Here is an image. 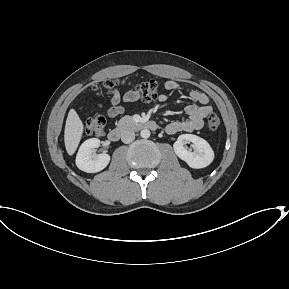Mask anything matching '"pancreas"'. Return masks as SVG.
I'll return each mask as SVG.
<instances>
[{
    "instance_id": "cf45deb5",
    "label": "pancreas",
    "mask_w": 289,
    "mask_h": 289,
    "mask_svg": "<svg viewBox=\"0 0 289 289\" xmlns=\"http://www.w3.org/2000/svg\"><path fill=\"white\" fill-rule=\"evenodd\" d=\"M132 122H133V121H132V117L129 116V115H126V116L122 117V118L119 120L118 125H119V126H122V125H125V124H130V123H132Z\"/></svg>"
}]
</instances>
